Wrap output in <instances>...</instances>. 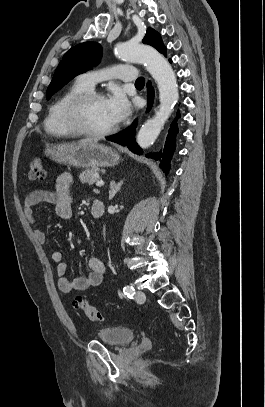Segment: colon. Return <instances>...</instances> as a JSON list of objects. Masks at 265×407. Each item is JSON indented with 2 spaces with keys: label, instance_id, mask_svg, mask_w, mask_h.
Wrapping results in <instances>:
<instances>
[{
  "label": "colon",
  "instance_id": "1",
  "mask_svg": "<svg viewBox=\"0 0 265 407\" xmlns=\"http://www.w3.org/2000/svg\"><path fill=\"white\" fill-rule=\"evenodd\" d=\"M45 175L43 163L39 158H34L29 164L28 177L31 181L41 180ZM73 307L77 310L84 312L88 319L94 323H101L104 321L102 313L91 306L85 298L76 297L73 301Z\"/></svg>",
  "mask_w": 265,
  "mask_h": 407
}]
</instances>
